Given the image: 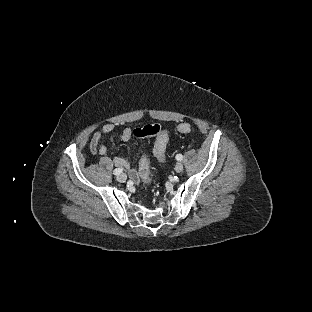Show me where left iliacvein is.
<instances>
[{"instance_id":"4c4485c4","label":"left iliac vein","mask_w":312,"mask_h":312,"mask_svg":"<svg viewBox=\"0 0 312 312\" xmlns=\"http://www.w3.org/2000/svg\"><path fill=\"white\" fill-rule=\"evenodd\" d=\"M175 171H176L177 173L182 172V171H183V164L180 163V162H178V163L176 164V166H175Z\"/></svg>"}]
</instances>
